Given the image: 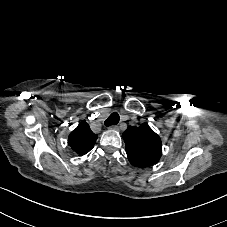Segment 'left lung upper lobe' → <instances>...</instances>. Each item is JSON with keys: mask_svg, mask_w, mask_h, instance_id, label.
<instances>
[{"mask_svg": "<svg viewBox=\"0 0 227 227\" xmlns=\"http://www.w3.org/2000/svg\"><path fill=\"white\" fill-rule=\"evenodd\" d=\"M122 136L126 144L128 159L133 166L149 167L160 159L161 139L147 123L139 127H128Z\"/></svg>", "mask_w": 227, "mask_h": 227, "instance_id": "5c2ea615", "label": "left lung upper lobe"}]
</instances>
